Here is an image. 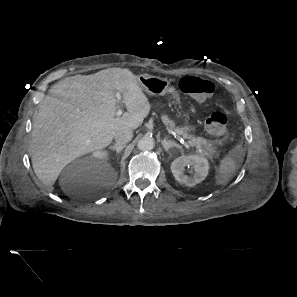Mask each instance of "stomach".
<instances>
[{"label":"stomach","instance_id":"1","mask_svg":"<svg viewBox=\"0 0 297 297\" xmlns=\"http://www.w3.org/2000/svg\"><path fill=\"white\" fill-rule=\"evenodd\" d=\"M138 82L142 89L150 95L162 96L166 93H172L174 96H177L175 89L170 86V82L165 78L144 74L138 77ZM183 116L186 119V124L182 130L188 134L193 130V127L188 124V114L184 113Z\"/></svg>","mask_w":297,"mask_h":297}]
</instances>
